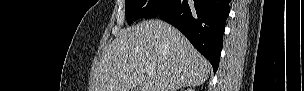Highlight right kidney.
<instances>
[{"label":"right kidney","instance_id":"right-kidney-1","mask_svg":"<svg viewBox=\"0 0 304 91\" xmlns=\"http://www.w3.org/2000/svg\"><path fill=\"white\" fill-rule=\"evenodd\" d=\"M186 91H194L193 89H187Z\"/></svg>","mask_w":304,"mask_h":91}]
</instances>
